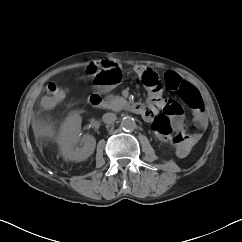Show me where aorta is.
<instances>
[{
    "label": "aorta",
    "instance_id": "1",
    "mask_svg": "<svg viewBox=\"0 0 242 242\" xmlns=\"http://www.w3.org/2000/svg\"><path fill=\"white\" fill-rule=\"evenodd\" d=\"M121 127L125 131H133L136 128V122L132 117L125 116L121 121Z\"/></svg>",
    "mask_w": 242,
    "mask_h": 242
}]
</instances>
